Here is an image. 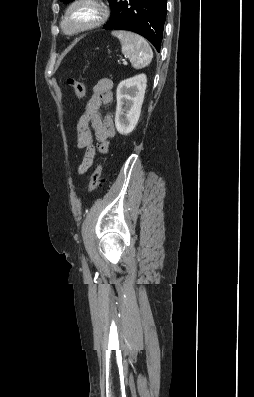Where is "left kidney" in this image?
Here are the masks:
<instances>
[{
    "label": "left kidney",
    "instance_id": "obj_1",
    "mask_svg": "<svg viewBox=\"0 0 254 397\" xmlns=\"http://www.w3.org/2000/svg\"><path fill=\"white\" fill-rule=\"evenodd\" d=\"M147 77L139 74L123 80L117 87L115 126L121 135H128L136 127L144 101Z\"/></svg>",
    "mask_w": 254,
    "mask_h": 397
}]
</instances>
